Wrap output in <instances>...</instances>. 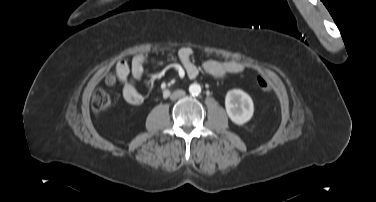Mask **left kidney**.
Listing matches in <instances>:
<instances>
[{"mask_svg": "<svg viewBox=\"0 0 376 202\" xmlns=\"http://www.w3.org/2000/svg\"><path fill=\"white\" fill-rule=\"evenodd\" d=\"M225 108L229 118L238 125L249 121L254 112L253 100L240 89H233L227 92Z\"/></svg>", "mask_w": 376, "mask_h": 202, "instance_id": "1", "label": "left kidney"}]
</instances>
